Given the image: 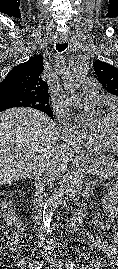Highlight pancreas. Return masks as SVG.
<instances>
[{"label": "pancreas", "mask_w": 118, "mask_h": 269, "mask_svg": "<svg viewBox=\"0 0 118 269\" xmlns=\"http://www.w3.org/2000/svg\"><path fill=\"white\" fill-rule=\"evenodd\" d=\"M96 184H100L97 186L98 190H111L112 186L114 184L113 180H106L105 178L102 179H96L95 180Z\"/></svg>", "instance_id": "obj_1"}]
</instances>
